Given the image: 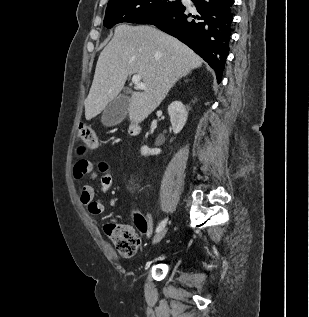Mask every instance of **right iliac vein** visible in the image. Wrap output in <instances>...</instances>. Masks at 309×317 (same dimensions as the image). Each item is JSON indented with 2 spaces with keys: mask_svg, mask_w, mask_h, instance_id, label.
<instances>
[{
  "mask_svg": "<svg viewBox=\"0 0 309 317\" xmlns=\"http://www.w3.org/2000/svg\"><path fill=\"white\" fill-rule=\"evenodd\" d=\"M166 232H167V228H163L162 230L157 232V234L154 236L152 240V244L154 245L160 242L163 239V237L166 235Z\"/></svg>",
  "mask_w": 309,
  "mask_h": 317,
  "instance_id": "obj_1",
  "label": "right iliac vein"
}]
</instances>
